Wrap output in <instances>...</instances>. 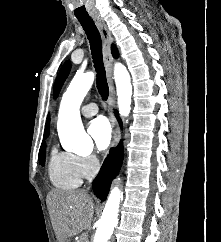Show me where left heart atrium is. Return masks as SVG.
Listing matches in <instances>:
<instances>
[{"instance_id": "39dd6f15", "label": "left heart atrium", "mask_w": 221, "mask_h": 242, "mask_svg": "<svg viewBox=\"0 0 221 242\" xmlns=\"http://www.w3.org/2000/svg\"><path fill=\"white\" fill-rule=\"evenodd\" d=\"M88 133L98 150H104L110 144L112 129L105 117H98L92 120L88 127Z\"/></svg>"}]
</instances>
